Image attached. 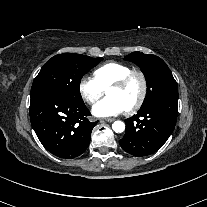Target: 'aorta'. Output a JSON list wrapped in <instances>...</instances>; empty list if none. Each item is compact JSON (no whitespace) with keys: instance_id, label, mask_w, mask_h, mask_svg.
<instances>
[{"instance_id":"762f6f07","label":"aorta","mask_w":207,"mask_h":207,"mask_svg":"<svg viewBox=\"0 0 207 207\" xmlns=\"http://www.w3.org/2000/svg\"><path fill=\"white\" fill-rule=\"evenodd\" d=\"M112 129L116 132V133H122L125 130V124L122 121H115L112 124Z\"/></svg>"}]
</instances>
